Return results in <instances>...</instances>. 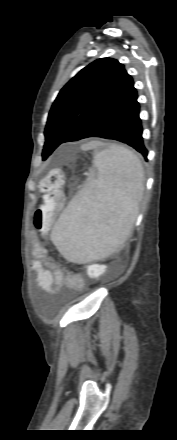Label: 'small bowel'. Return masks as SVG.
<instances>
[{
  "instance_id": "1",
  "label": "small bowel",
  "mask_w": 177,
  "mask_h": 440,
  "mask_svg": "<svg viewBox=\"0 0 177 440\" xmlns=\"http://www.w3.org/2000/svg\"><path fill=\"white\" fill-rule=\"evenodd\" d=\"M33 254L35 259L31 262V267L36 273L37 285L48 293L58 292L64 285L82 290L84 282L82 278L77 277L75 281L70 282L69 278L64 276L63 269L47 255V250L41 244L34 245Z\"/></svg>"
}]
</instances>
